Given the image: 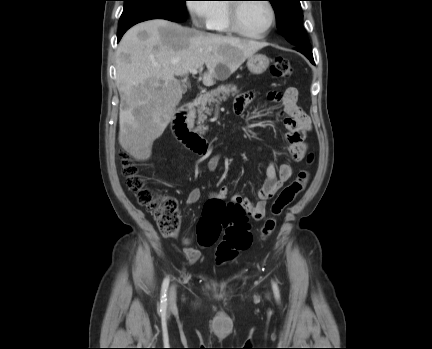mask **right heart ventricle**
Wrapping results in <instances>:
<instances>
[{
    "mask_svg": "<svg viewBox=\"0 0 432 349\" xmlns=\"http://www.w3.org/2000/svg\"><path fill=\"white\" fill-rule=\"evenodd\" d=\"M214 11L210 18L208 28L220 34L231 32L228 23V4L224 0L214 3Z\"/></svg>",
    "mask_w": 432,
    "mask_h": 349,
    "instance_id": "obj_1",
    "label": "right heart ventricle"
}]
</instances>
